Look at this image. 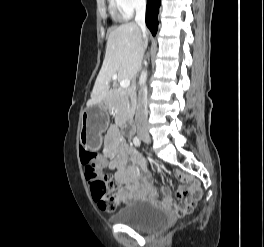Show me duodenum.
Masks as SVG:
<instances>
[{
	"instance_id": "obj_1",
	"label": "duodenum",
	"mask_w": 264,
	"mask_h": 247,
	"mask_svg": "<svg viewBox=\"0 0 264 247\" xmlns=\"http://www.w3.org/2000/svg\"><path fill=\"white\" fill-rule=\"evenodd\" d=\"M108 103H109V101L106 102V104H108ZM125 127L127 128V130L130 133H132L134 131V122L131 118L126 120Z\"/></svg>"
}]
</instances>
